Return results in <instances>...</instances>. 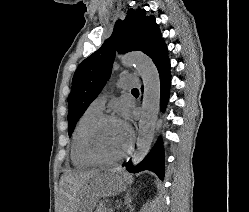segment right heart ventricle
Instances as JSON below:
<instances>
[{"mask_svg": "<svg viewBox=\"0 0 249 212\" xmlns=\"http://www.w3.org/2000/svg\"><path fill=\"white\" fill-rule=\"evenodd\" d=\"M100 115H102L100 110L95 109L91 105L88 106L79 117L73 129L69 142V159L72 166L76 169H86L92 165L82 155L81 141L86 128Z\"/></svg>", "mask_w": 249, "mask_h": 212, "instance_id": "e07e8e85", "label": "right heart ventricle"}]
</instances>
